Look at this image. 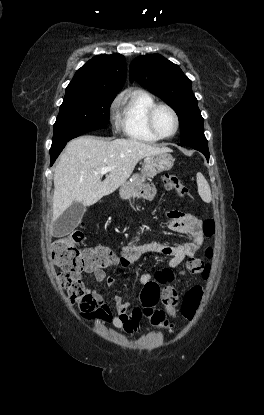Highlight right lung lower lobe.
I'll use <instances>...</instances> for the list:
<instances>
[{
	"mask_svg": "<svg viewBox=\"0 0 264 415\" xmlns=\"http://www.w3.org/2000/svg\"><path fill=\"white\" fill-rule=\"evenodd\" d=\"M66 144L56 148V149H50V155H51V165L55 162V160L57 159V157L59 156V154L61 153V151L63 150V148L65 147Z\"/></svg>",
	"mask_w": 264,
	"mask_h": 415,
	"instance_id": "obj_1",
	"label": "right lung lower lobe"
}]
</instances>
